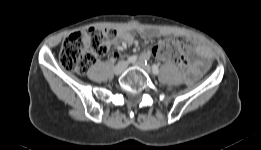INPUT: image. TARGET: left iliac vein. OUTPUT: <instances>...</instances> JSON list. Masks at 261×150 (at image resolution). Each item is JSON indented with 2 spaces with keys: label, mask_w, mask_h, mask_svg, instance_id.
<instances>
[{
  "label": "left iliac vein",
  "mask_w": 261,
  "mask_h": 150,
  "mask_svg": "<svg viewBox=\"0 0 261 150\" xmlns=\"http://www.w3.org/2000/svg\"><path fill=\"white\" fill-rule=\"evenodd\" d=\"M134 65L140 67L143 71L150 74L151 68L149 65H145L143 60H138L137 62H134Z\"/></svg>",
  "instance_id": "obj_1"
}]
</instances>
